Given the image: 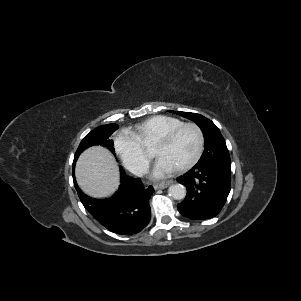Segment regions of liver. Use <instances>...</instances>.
<instances>
[{"label": "liver", "mask_w": 301, "mask_h": 301, "mask_svg": "<svg viewBox=\"0 0 301 301\" xmlns=\"http://www.w3.org/2000/svg\"><path fill=\"white\" fill-rule=\"evenodd\" d=\"M75 176L82 191L94 198L113 194L120 180L115 158L101 146H93L80 155Z\"/></svg>", "instance_id": "obj_1"}]
</instances>
